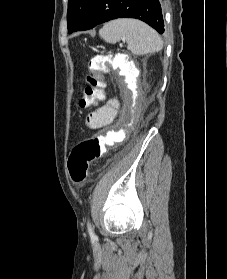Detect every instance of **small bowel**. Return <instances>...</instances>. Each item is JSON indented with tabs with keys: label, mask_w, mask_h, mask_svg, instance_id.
Masks as SVG:
<instances>
[{
	"label": "small bowel",
	"mask_w": 227,
	"mask_h": 279,
	"mask_svg": "<svg viewBox=\"0 0 227 279\" xmlns=\"http://www.w3.org/2000/svg\"><path fill=\"white\" fill-rule=\"evenodd\" d=\"M119 107L120 101L117 97L109 98L105 105L87 116L86 125L92 129L108 126L115 119Z\"/></svg>",
	"instance_id": "obj_1"
}]
</instances>
